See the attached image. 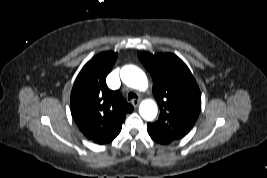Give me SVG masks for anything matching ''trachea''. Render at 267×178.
<instances>
[{"mask_svg":"<svg viewBox=\"0 0 267 178\" xmlns=\"http://www.w3.org/2000/svg\"><path fill=\"white\" fill-rule=\"evenodd\" d=\"M136 98H137V95H136L135 93L130 92V93L128 94V100L136 99Z\"/></svg>","mask_w":267,"mask_h":178,"instance_id":"3493384b","label":"trachea"}]
</instances>
